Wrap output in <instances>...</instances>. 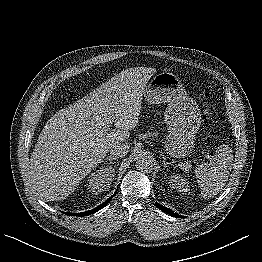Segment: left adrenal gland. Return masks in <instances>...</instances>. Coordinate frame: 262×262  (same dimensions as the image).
I'll return each instance as SVG.
<instances>
[{
  "instance_id": "a2214340",
  "label": "left adrenal gland",
  "mask_w": 262,
  "mask_h": 262,
  "mask_svg": "<svg viewBox=\"0 0 262 262\" xmlns=\"http://www.w3.org/2000/svg\"><path fill=\"white\" fill-rule=\"evenodd\" d=\"M163 164H164V166L166 167L167 165H171V166H173V164L175 163V161H173V162H167L166 161V157H164V155H163Z\"/></svg>"
}]
</instances>
